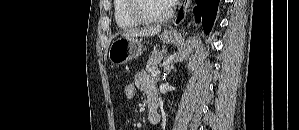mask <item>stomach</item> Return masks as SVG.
I'll list each match as a JSON object with an SVG mask.
<instances>
[{
  "mask_svg": "<svg viewBox=\"0 0 299 130\" xmlns=\"http://www.w3.org/2000/svg\"><path fill=\"white\" fill-rule=\"evenodd\" d=\"M178 34L174 30H165L161 39L165 43H171ZM143 51L141 40L134 37H121L113 41L109 49V60L114 65H122L140 56Z\"/></svg>",
  "mask_w": 299,
  "mask_h": 130,
  "instance_id": "stomach-1",
  "label": "stomach"
}]
</instances>
